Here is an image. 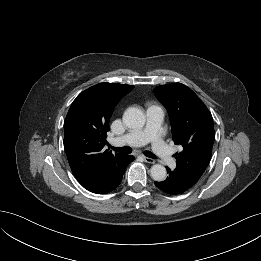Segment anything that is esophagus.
<instances>
[{"mask_svg":"<svg viewBox=\"0 0 261 261\" xmlns=\"http://www.w3.org/2000/svg\"><path fill=\"white\" fill-rule=\"evenodd\" d=\"M144 161L149 163V164H154L155 163V160L152 159V158H149V157H143Z\"/></svg>","mask_w":261,"mask_h":261,"instance_id":"1","label":"esophagus"}]
</instances>
